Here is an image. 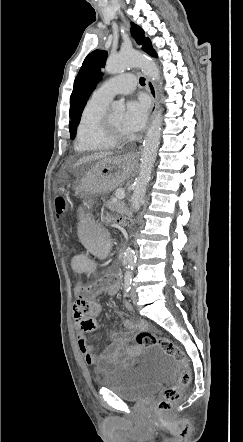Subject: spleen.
<instances>
[{"label": "spleen", "mask_w": 243, "mask_h": 442, "mask_svg": "<svg viewBox=\"0 0 243 442\" xmlns=\"http://www.w3.org/2000/svg\"><path fill=\"white\" fill-rule=\"evenodd\" d=\"M73 200L77 199L76 195L72 196ZM78 212L80 214H85L87 212V207L85 205H80L78 207ZM78 237H82L83 242H87L88 248H95L92 251V256L89 259H80L79 266L83 268L84 274H91L92 280L100 279V272L98 268H101V259L94 258H110L111 251V241L110 239H101L103 237V228H98L97 222H91L89 219L86 222H80L78 228ZM85 294L89 293L88 289L84 290Z\"/></svg>", "instance_id": "3e777b00"}]
</instances>
